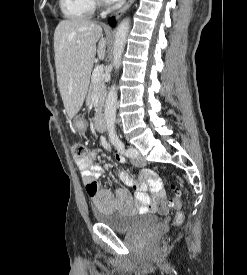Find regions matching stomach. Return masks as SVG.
<instances>
[{
    "instance_id": "obj_1",
    "label": "stomach",
    "mask_w": 247,
    "mask_h": 275,
    "mask_svg": "<svg viewBox=\"0 0 247 275\" xmlns=\"http://www.w3.org/2000/svg\"><path fill=\"white\" fill-rule=\"evenodd\" d=\"M73 123H74L75 128L80 132H83L86 128V124H85L84 120H82L80 118H75Z\"/></svg>"
}]
</instances>
